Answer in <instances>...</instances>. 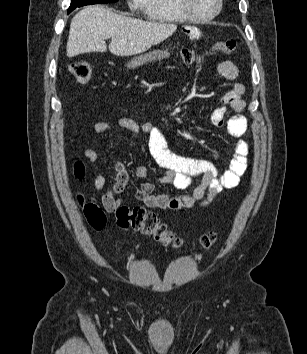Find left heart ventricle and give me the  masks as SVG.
I'll use <instances>...</instances> for the list:
<instances>
[{
  "label": "left heart ventricle",
  "mask_w": 307,
  "mask_h": 354,
  "mask_svg": "<svg viewBox=\"0 0 307 354\" xmlns=\"http://www.w3.org/2000/svg\"><path fill=\"white\" fill-rule=\"evenodd\" d=\"M189 8L197 16H208L217 8V0H189Z\"/></svg>",
  "instance_id": "1"
}]
</instances>
